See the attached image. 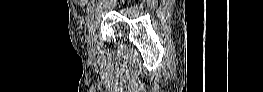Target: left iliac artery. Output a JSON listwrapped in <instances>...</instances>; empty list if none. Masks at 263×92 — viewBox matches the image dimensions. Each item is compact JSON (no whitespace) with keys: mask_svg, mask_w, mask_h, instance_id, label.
I'll use <instances>...</instances> for the list:
<instances>
[{"mask_svg":"<svg viewBox=\"0 0 263 92\" xmlns=\"http://www.w3.org/2000/svg\"><path fill=\"white\" fill-rule=\"evenodd\" d=\"M93 5H96V2H93ZM94 16H96V11H95V9H92V11H90L89 15L87 16L88 27L91 25L90 21L94 20Z\"/></svg>","mask_w":263,"mask_h":92,"instance_id":"obj_1","label":"left iliac artery"}]
</instances>
